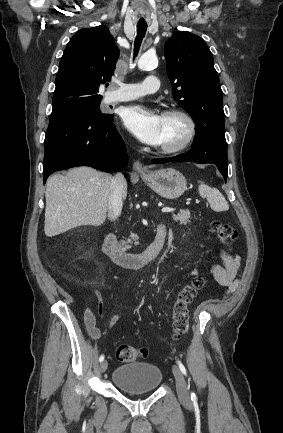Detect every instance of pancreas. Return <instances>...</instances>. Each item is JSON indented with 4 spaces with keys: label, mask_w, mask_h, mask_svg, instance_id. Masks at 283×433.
<instances>
[{
    "label": "pancreas",
    "mask_w": 283,
    "mask_h": 433,
    "mask_svg": "<svg viewBox=\"0 0 283 433\" xmlns=\"http://www.w3.org/2000/svg\"><path fill=\"white\" fill-rule=\"evenodd\" d=\"M172 217L173 221H179V223H187V221H189L190 219V210H188V208H186V210H184V208H181L180 212H178V214H172ZM130 237L131 239H133V241H135V245H137V237H134L133 233H131ZM129 243H132V241H129Z\"/></svg>",
    "instance_id": "pancreas-1"
}]
</instances>
